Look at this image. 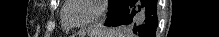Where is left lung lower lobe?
<instances>
[{"label": "left lung lower lobe", "mask_w": 219, "mask_h": 37, "mask_svg": "<svg viewBox=\"0 0 219 37\" xmlns=\"http://www.w3.org/2000/svg\"><path fill=\"white\" fill-rule=\"evenodd\" d=\"M157 0H118L105 26L128 25L136 37H155Z\"/></svg>", "instance_id": "0a47b994"}]
</instances>
